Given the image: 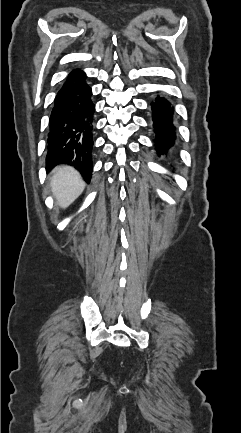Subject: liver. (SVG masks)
Masks as SVG:
<instances>
[{"label":"liver","mask_w":241,"mask_h":433,"mask_svg":"<svg viewBox=\"0 0 241 433\" xmlns=\"http://www.w3.org/2000/svg\"><path fill=\"white\" fill-rule=\"evenodd\" d=\"M50 186L56 203L65 209L81 195L85 182L73 167L61 166L53 170Z\"/></svg>","instance_id":"6515ba94"}]
</instances>
